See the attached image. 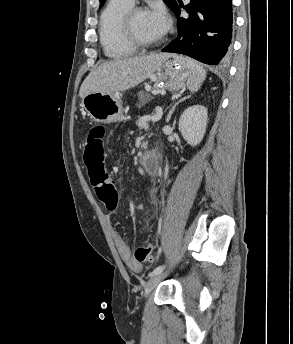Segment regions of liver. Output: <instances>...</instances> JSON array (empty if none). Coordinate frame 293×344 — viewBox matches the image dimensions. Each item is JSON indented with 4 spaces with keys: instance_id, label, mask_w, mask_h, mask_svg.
<instances>
[{
    "instance_id": "liver-1",
    "label": "liver",
    "mask_w": 293,
    "mask_h": 344,
    "mask_svg": "<svg viewBox=\"0 0 293 344\" xmlns=\"http://www.w3.org/2000/svg\"><path fill=\"white\" fill-rule=\"evenodd\" d=\"M171 56L167 53H153L104 62L86 77L79 96L83 99L90 93L113 94L131 89L147 79Z\"/></svg>"
}]
</instances>
